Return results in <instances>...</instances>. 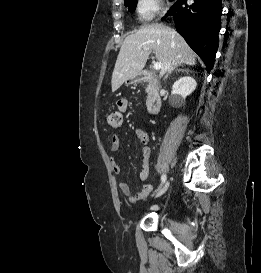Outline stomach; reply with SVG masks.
Returning a JSON list of instances; mask_svg holds the SVG:
<instances>
[{
  "mask_svg": "<svg viewBox=\"0 0 261 273\" xmlns=\"http://www.w3.org/2000/svg\"><path fill=\"white\" fill-rule=\"evenodd\" d=\"M141 78L139 76L135 77L134 79L127 80L126 83H136L139 82Z\"/></svg>",
  "mask_w": 261,
  "mask_h": 273,
  "instance_id": "obj_1",
  "label": "stomach"
}]
</instances>
